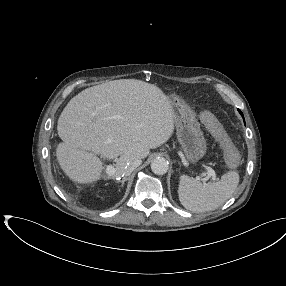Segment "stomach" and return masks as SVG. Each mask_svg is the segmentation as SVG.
I'll return each instance as SVG.
<instances>
[{"mask_svg":"<svg viewBox=\"0 0 286 286\" xmlns=\"http://www.w3.org/2000/svg\"><path fill=\"white\" fill-rule=\"evenodd\" d=\"M173 107L178 141L191 163L199 161L206 153L207 144L194 112L175 94L169 96Z\"/></svg>","mask_w":286,"mask_h":286,"instance_id":"obj_1","label":"stomach"}]
</instances>
